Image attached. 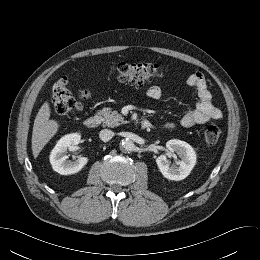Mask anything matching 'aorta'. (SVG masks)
Masks as SVG:
<instances>
[{
	"label": "aorta",
	"instance_id": "obj_1",
	"mask_svg": "<svg viewBox=\"0 0 260 260\" xmlns=\"http://www.w3.org/2000/svg\"><path fill=\"white\" fill-rule=\"evenodd\" d=\"M135 148V145L132 140L130 139H124L120 143V149L123 151H133Z\"/></svg>",
	"mask_w": 260,
	"mask_h": 260
}]
</instances>
